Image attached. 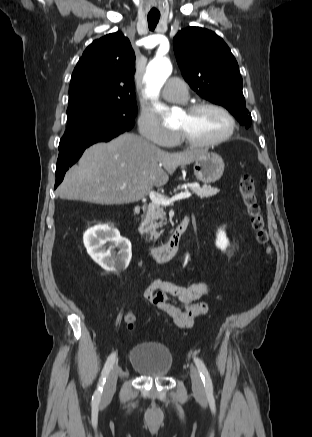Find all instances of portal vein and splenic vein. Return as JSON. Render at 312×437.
Returning a JSON list of instances; mask_svg holds the SVG:
<instances>
[{
	"label": "portal vein and splenic vein",
	"instance_id": "obj_1",
	"mask_svg": "<svg viewBox=\"0 0 312 437\" xmlns=\"http://www.w3.org/2000/svg\"><path fill=\"white\" fill-rule=\"evenodd\" d=\"M121 189H124V187H121ZM149 197L153 203L169 205L177 200H182V199H186V198L191 197V193L184 192V193H180L178 195H175L172 198H167V197L163 196L162 194H159L155 191H150Z\"/></svg>",
	"mask_w": 312,
	"mask_h": 437
}]
</instances>
